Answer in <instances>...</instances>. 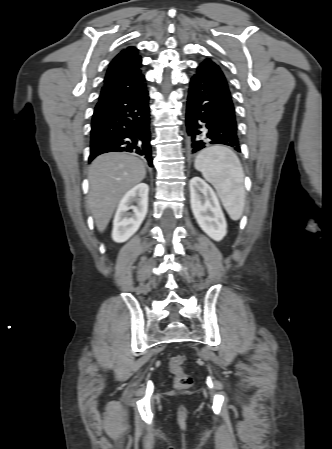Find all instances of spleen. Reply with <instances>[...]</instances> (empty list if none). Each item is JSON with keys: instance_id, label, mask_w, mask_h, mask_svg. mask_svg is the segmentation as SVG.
I'll list each match as a JSON object with an SVG mask.
<instances>
[{"instance_id": "1", "label": "spleen", "mask_w": 332, "mask_h": 449, "mask_svg": "<svg viewBox=\"0 0 332 449\" xmlns=\"http://www.w3.org/2000/svg\"><path fill=\"white\" fill-rule=\"evenodd\" d=\"M194 167L215 187L230 218L239 220L245 205V188L237 155L224 146L208 147L197 155Z\"/></svg>"}]
</instances>
